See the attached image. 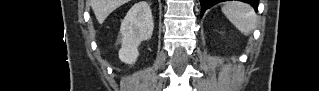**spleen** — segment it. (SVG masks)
Segmentation results:
<instances>
[{
    "label": "spleen",
    "instance_id": "1",
    "mask_svg": "<svg viewBox=\"0 0 319 91\" xmlns=\"http://www.w3.org/2000/svg\"><path fill=\"white\" fill-rule=\"evenodd\" d=\"M222 12L230 22L244 35L251 33L256 26V14L251 6L243 2H227Z\"/></svg>",
    "mask_w": 319,
    "mask_h": 91
}]
</instances>
